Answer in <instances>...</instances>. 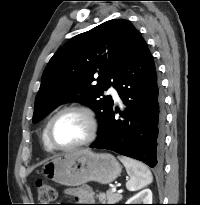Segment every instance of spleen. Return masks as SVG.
I'll list each match as a JSON object with an SVG mask.
<instances>
[{
    "instance_id": "3e777b00",
    "label": "spleen",
    "mask_w": 200,
    "mask_h": 205,
    "mask_svg": "<svg viewBox=\"0 0 200 205\" xmlns=\"http://www.w3.org/2000/svg\"><path fill=\"white\" fill-rule=\"evenodd\" d=\"M118 159L123 163L130 176L126 182L127 190L137 191L152 182V173L145 164L126 156H118Z\"/></svg>"
}]
</instances>
